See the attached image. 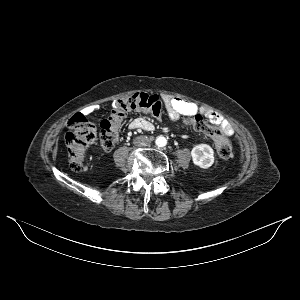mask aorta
I'll list each match as a JSON object with an SVG mask.
<instances>
[{
    "label": "aorta",
    "instance_id": "1",
    "mask_svg": "<svg viewBox=\"0 0 300 300\" xmlns=\"http://www.w3.org/2000/svg\"><path fill=\"white\" fill-rule=\"evenodd\" d=\"M155 144L158 146V147H164L167 145V139L163 136H159L156 138L155 140Z\"/></svg>",
    "mask_w": 300,
    "mask_h": 300
}]
</instances>
